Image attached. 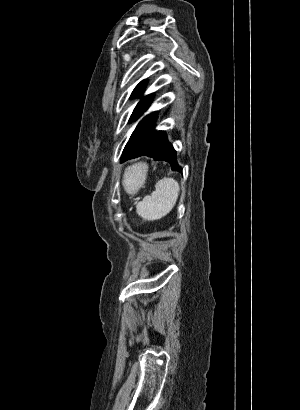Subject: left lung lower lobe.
Masks as SVG:
<instances>
[{"instance_id": "1", "label": "left lung lower lobe", "mask_w": 300, "mask_h": 410, "mask_svg": "<svg viewBox=\"0 0 300 410\" xmlns=\"http://www.w3.org/2000/svg\"><path fill=\"white\" fill-rule=\"evenodd\" d=\"M149 156L155 160H164L170 163L172 170L182 171L177 163L176 151L168 142L165 132L155 131L150 139L129 158H136L139 156ZM129 158L124 159L128 160Z\"/></svg>"}]
</instances>
